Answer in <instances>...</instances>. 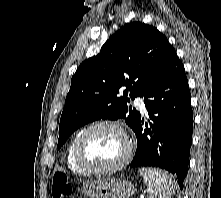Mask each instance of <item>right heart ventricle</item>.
Segmentation results:
<instances>
[{
  "label": "right heart ventricle",
  "mask_w": 221,
  "mask_h": 198,
  "mask_svg": "<svg viewBox=\"0 0 221 198\" xmlns=\"http://www.w3.org/2000/svg\"><path fill=\"white\" fill-rule=\"evenodd\" d=\"M77 135H75L67 145V148L65 151V163L68 169L71 170L72 172L82 174L86 172L78 166V164L76 163L74 159V143H75Z\"/></svg>",
  "instance_id": "right-heart-ventricle-1"
}]
</instances>
